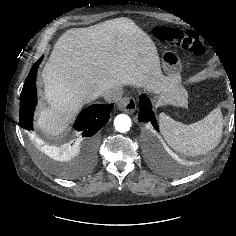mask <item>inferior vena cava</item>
<instances>
[{
	"label": "inferior vena cava",
	"instance_id": "602c4592",
	"mask_svg": "<svg viewBox=\"0 0 236 236\" xmlns=\"http://www.w3.org/2000/svg\"><path fill=\"white\" fill-rule=\"evenodd\" d=\"M123 91L121 88H112L106 90L102 96L107 102H118L122 97Z\"/></svg>",
	"mask_w": 236,
	"mask_h": 236
}]
</instances>
